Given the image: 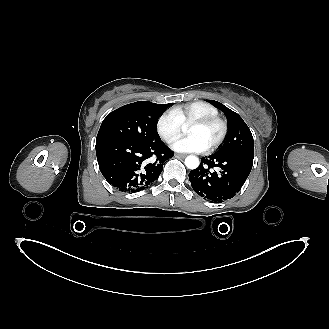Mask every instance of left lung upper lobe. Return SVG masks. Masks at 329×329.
<instances>
[{
  "label": "left lung upper lobe",
  "mask_w": 329,
  "mask_h": 329,
  "mask_svg": "<svg viewBox=\"0 0 329 329\" xmlns=\"http://www.w3.org/2000/svg\"><path fill=\"white\" fill-rule=\"evenodd\" d=\"M225 113L228 121V136L216 153L239 154L254 157V140L252 133L239 114L230 110L222 103L206 100Z\"/></svg>",
  "instance_id": "1"
}]
</instances>
